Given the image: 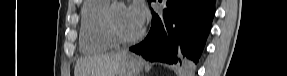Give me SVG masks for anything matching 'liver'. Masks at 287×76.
I'll return each mask as SVG.
<instances>
[{"mask_svg":"<svg viewBox=\"0 0 287 76\" xmlns=\"http://www.w3.org/2000/svg\"><path fill=\"white\" fill-rule=\"evenodd\" d=\"M126 55L123 51L82 58L76 63L75 76H115Z\"/></svg>","mask_w":287,"mask_h":76,"instance_id":"1","label":"liver"}]
</instances>
